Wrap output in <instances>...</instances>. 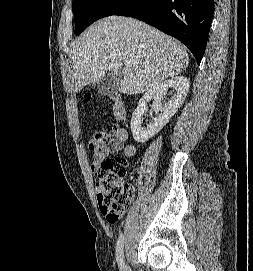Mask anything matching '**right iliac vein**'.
Wrapping results in <instances>:
<instances>
[{"label": "right iliac vein", "mask_w": 253, "mask_h": 271, "mask_svg": "<svg viewBox=\"0 0 253 271\" xmlns=\"http://www.w3.org/2000/svg\"><path fill=\"white\" fill-rule=\"evenodd\" d=\"M124 271H128V267L126 264H124Z\"/></svg>", "instance_id": "right-iliac-vein-1"}]
</instances>
